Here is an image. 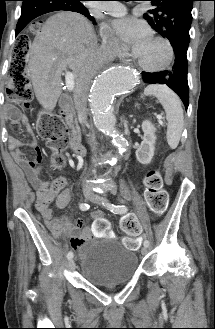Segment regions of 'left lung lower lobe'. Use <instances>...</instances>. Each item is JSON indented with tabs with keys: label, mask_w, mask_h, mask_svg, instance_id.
<instances>
[{
	"label": "left lung lower lobe",
	"mask_w": 215,
	"mask_h": 329,
	"mask_svg": "<svg viewBox=\"0 0 215 329\" xmlns=\"http://www.w3.org/2000/svg\"><path fill=\"white\" fill-rule=\"evenodd\" d=\"M174 53H175V63L171 70L161 71L154 73L143 72L142 76L146 83L149 84H166L173 91H175L187 110L189 105V87L187 80V50L188 44L173 41L171 42Z\"/></svg>",
	"instance_id": "0a47b994"
}]
</instances>
